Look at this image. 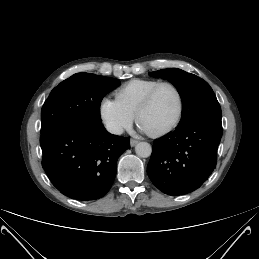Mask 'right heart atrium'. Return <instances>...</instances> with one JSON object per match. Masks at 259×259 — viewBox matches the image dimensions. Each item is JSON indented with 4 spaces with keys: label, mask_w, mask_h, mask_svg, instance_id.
I'll use <instances>...</instances> for the list:
<instances>
[{
    "label": "right heart atrium",
    "mask_w": 259,
    "mask_h": 259,
    "mask_svg": "<svg viewBox=\"0 0 259 259\" xmlns=\"http://www.w3.org/2000/svg\"><path fill=\"white\" fill-rule=\"evenodd\" d=\"M99 116L107 129L115 134L128 129L134 116L127 112L116 99L104 97L99 104Z\"/></svg>",
    "instance_id": "d8ad5b80"
}]
</instances>
